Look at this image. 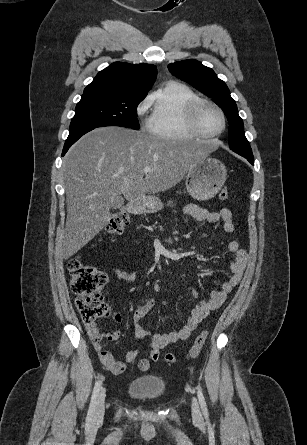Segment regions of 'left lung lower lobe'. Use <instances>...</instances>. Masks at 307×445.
<instances>
[{
  "label": "left lung lower lobe",
  "mask_w": 307,
  "mask_h": 445,
  "mask_svg": "<svg viewBox=\"0 0 307 445\" xmlns=\"http://www.w3.org/2000/svg\"><path fill=\"white\" fill-rule=\"evenodd\" d=\"M238 154L246 158L252 165H254V157L252 154H246V153H238Z\"/></svg>",
  "instance_id": "1"
}]
</instances>
